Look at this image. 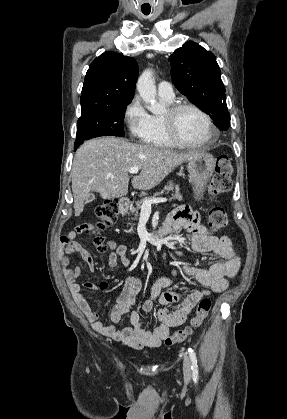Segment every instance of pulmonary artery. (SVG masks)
I'll list each match as a JSON object with an SVG mask.
<instances>
[{
  "mask_svg": "<svg viewBox=\"0 0 287 419\" xmlns=\"http://www.w3.org/2000/svg\"><path fill=\"white\" fill-rule=\"evenodd\" d=\"M158 93L160 97L166 100L171 101L174 98L172 85L167 81H162L158 84Z\"/></svg>",
  "mask_w": 287,
  "mask_h": 419,
  "instance_id": "1",
  "label": "pulmonary artery"
}]
</instances>
